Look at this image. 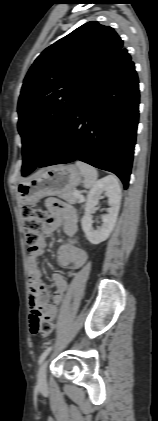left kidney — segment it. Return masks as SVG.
Wrapping results in <instances>:
<instances>
[{
  "instance_id": "5707ae66",
  "label": "left kidney",
  "mask_w": 158,
  "mask_h": 421,
  "mask_svg": "<svg viewBox=\"0 0 158 421\" xmlns=\"http://www.w3.org/2000/svg\"><path fill=\"white\" fill-rule=\"evenodd\" d=\"M103 193L108 197V205L110 208L108 209V213L102 216V226L95 230L92 227L93 220L91 211L99 203ZM120 203L121 188L117 178L114 176H106L100 179L90 190L87 196L81 224L86 238L91 244L97 245L109 237L117 220Z\"/></svg>"
}]
</instances>
